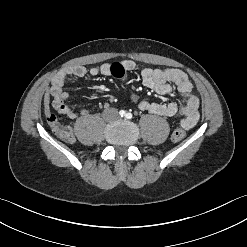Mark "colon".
Returning <instances> with one entry per match:
<instances>
[{
	"label": "colon",
	"mask_w": 247,
	"mask_h": 247,
	"mask_svg": "<svg viewBox=\"0 0 247 247\" xmlns=\"http://www.w3.org/2000/svg\"><path fill=\"white\" fill-rule=\"evenodd\" d=\"M112 74L114 77L122 78L125 76L126 72L118 63H113ZM129 101L132 104H145L147 102V97L140 93H132L129 96ZM47 119L56 136L65 141L73 140L71 129L67 125L61 123L60 115L50 113ZM186 135L187 132L185 129L177 128L173 131L171 138L174 142H180L186 137Z\"/></svg>",
	"instance_id": "colon-1"
}]
</instances>
